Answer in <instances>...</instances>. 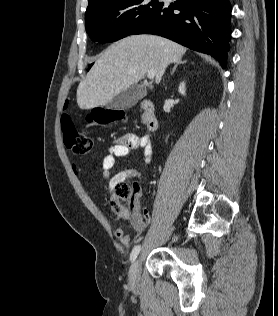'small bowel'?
I'll list each match as a JSON object with an SVG mask.
<instances>
[{"label":"small bowel","instance_id":"small-bowel-1","mask_svg":"<svg viewBox=\"0 0 278 316\" xmlns=\"http://www.w3.org/2000/svg\"><path fill=\"white\" fill-rule=\"evenodd\" d=\"M132 150H140L143 154L144 164L148 165L151 162L152 157V143L151 138L148 135H137L134 133H127L122 137L114 141V143L107 148L106 155L102 161V177L103 179H109L110 172L114 168L116 160L118 158L126 157ZM75 173L78 172V167L73 166ZM141 180L142 175L133 168L125 169L115 174L108 181V189L112 191L116 185L125 183L127 180ZM141 192L137 188L134 192V199L132 202L131 211H125L117 214L116 220H129L132 228L136 233H142L147 224L151 221V217L148 213H145L144 217L141 216L139 206V196ZM115 236L124 246L130 245V237L122 227L115 229Z\"/></svg>","mask_w":278,"mask_h":316}]
</instances>
